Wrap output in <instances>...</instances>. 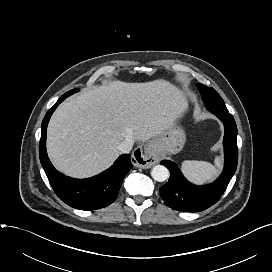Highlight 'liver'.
<instances>
[{"instance_id": "liver-1", "label": "liver", "mask_w": 272, "mask_h": 272, "mask_svg": "<svg viewBox=\"0 0 272 272\" xmlns=\"http://www.w3.org/2000/svg\"><path fill=\"white\" fill-rule=\"evenodd\" d=\"M187 108L184 94L168 81H110L59 105L48 125L47 152L64 174L94 176L113 164L124 140L158 136Z\"/></svg>"}]
</instances>
